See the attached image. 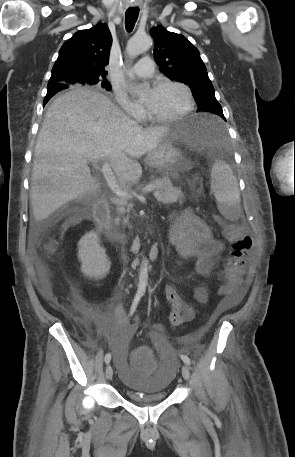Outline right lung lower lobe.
<instances>
[{
    "mask_svg": "<svg viewBox=\"0 0 295 457\" xmlns=\"http://www.w3.org/2000/svg\"><path fill=\"white\" fill-rule=\"evenodd\" d=\"M66 87L64 86H60V85H52V86H48L47 88V95L44 99V102H43V105H45L49 99L54 95L56 94L57 92L65 89Z\"/></svg>",
    "mask_w": 295,
    "mask_h": 457,
    "instance_id": "1",
    "label": "right lung lower lobe"
}]
</instances>
